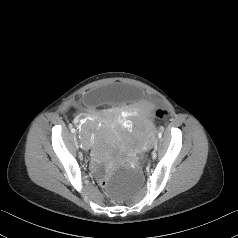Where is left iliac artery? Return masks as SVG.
Returning <instances> with one entry per match:
<instances>
[{
	"instance_id": "1",
	"label": "left iliac artery",
	"mask_w": 238,
	"mask_h": 238,
	"mask_svg": "<svg viewBox=\"0 0 238 238\" xmlns=\"http://www.w3.org/2000/svg\"><path fill=\"white\" fill-rule=\"evenodd\" d=\"M158 137H159V138H161V137H162V133H161V132L158 134Z\"/></svg>"
}]
</instances>
